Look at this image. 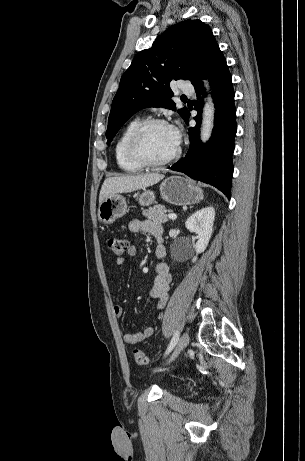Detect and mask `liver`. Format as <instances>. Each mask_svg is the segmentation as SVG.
<instances>
[{"mask_svg": "<svg viewBox=\"0 0 305 461\" xmlns=\"http://www.w3.org/2000/svg\"><path fill=\"white\" fill-rule=\"evenodd\" d=\"M163 178L164 175L158 173L107 178L100 190L99 203L110 195L144 189L158 183Z\"/></svg>", "mask_w": 305, "mask_h": 461, "instance_id": "1", "label": "liver"}]
</instances>
